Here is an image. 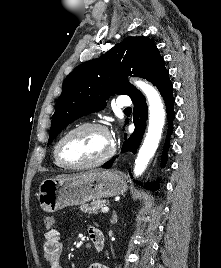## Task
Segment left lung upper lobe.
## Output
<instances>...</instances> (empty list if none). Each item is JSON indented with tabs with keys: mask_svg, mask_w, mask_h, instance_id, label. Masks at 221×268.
Listing matches in <instances>:
<instances>
[{
	"mask_svg": "<svg viewBox=\"0 0 221 268\" xmlns=\"http://www.w3.org/2000/svg\"><path fill=\"white\" fill-rule=\"evenodd\" d=\"M158 86L169 73L156 45L146 37H129L101 57L76 67L64 80L56 102L48 144L75 119L105 108L113 94L134 99L142 93L126 81L129 75Z\"/></svg>",
	"mask_w": 221,
	"mask_h": 268,
	"instance_id": "left-lung-upper-lobe-1",
	"label": "left lung upper lobe"
}]
</instances>
